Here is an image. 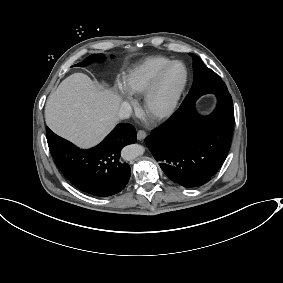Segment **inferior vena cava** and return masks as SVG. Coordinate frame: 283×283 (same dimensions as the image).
<instances>
[{
  "label": "inferior vena cava",
  "mask_w": 283,
  "mask_h": 283,
  "mask_svg": "<svg viewBox=\"0 0 283 283\" xmlns=\"http://www.w3.org/2000/svg\"><path fill=\"white\" fill-rule=\"evenodd\" d=\"M133 115L132 108L126 102H122L118 109V117L120 119H129V117Z\"/></svg>",
  "instance_id": "1"
}]
</instances>
